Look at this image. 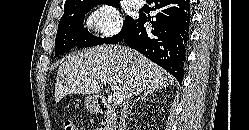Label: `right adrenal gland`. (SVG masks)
Returning a JSON list of instances; mask_svg holds the SVG:
<instances>
[{"instance_id":"obj_1","label":"right adrenal gland","mask_w":249,"mask_h":130,"mask_svg":"<svg viewBox=\"0 0 249 130\" xmlns=\"http://www.w3.org/2000/svg\"><path fill=\"white\" fill-rule=\"evenodd\" d=\"M153 92H154L153 90H147L146 92H144L143 95H140V96L134 101V103L130 106V109L128 110L127 115L131 114V111H132L134 105H135L139 100L146 101L148 95H149V94H152Z\"/></svg>"}]
</instances>
